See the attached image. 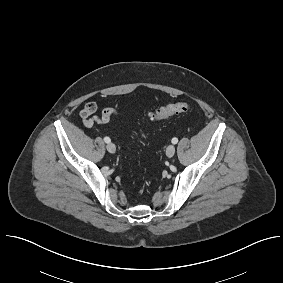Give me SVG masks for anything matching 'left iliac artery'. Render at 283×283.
Instances as JSON below:
<instances>
[{
  "label": "left iliac artery",
  "instance_id": "44dca946",
  "mask_svg": "<svg viewBox=\"0 0 283 283\" xmlns=\"http://www.w3.org/2000/svg\"><path fill=\"white\" fill-rule=\"evenodd\" d=\"M177 142H178V139L174 137V138L172 139V143H173V144H176Z\"/></svg>",
  "mask_w": 283,
  "mask_h": 283
}]
</instances>
